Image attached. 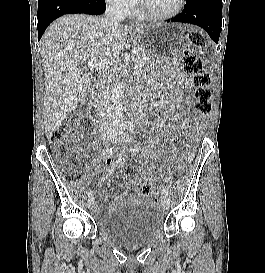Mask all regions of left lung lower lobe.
<instances>
[{
  "mask_svg": "<svg viewBox=\"0 0 265 273\" xmlns=\"http://www.w3.org/2000/svg\"><path fill=\"white\" fill-rule=\"evenodd\" d=\"M169 21L198 25L218 43L222 24V0H186L183 12Z\"/></svg>",
  "mask_w": 265,
  "mask_h": 273,
  "instance_id": "obj_1",
  "label": "left lung lower lobe"
}]
</instances>
